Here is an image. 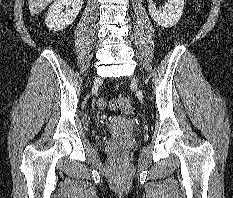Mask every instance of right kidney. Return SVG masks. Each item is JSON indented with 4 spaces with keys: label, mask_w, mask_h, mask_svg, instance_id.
<instances>
[{
    "label": "right kidney",
    "mask_w": 233,
    "mask_h": 198,
    "mask_svg": "<svg viewBox=\"0 0 233 198\" xmlns=\"http://www.w3.org/2000/svg\"><path fill=\"white\" fill-rule=\"evenodd\" d=\"M82 4L83 0H56L49 8L45 20L47 27L54 31L66 28L75 20Z\"/></svg>",
    "instance_id": "1"
}]
</instances>
